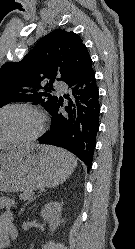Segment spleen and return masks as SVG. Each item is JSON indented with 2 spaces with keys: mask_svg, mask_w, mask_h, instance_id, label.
I'll return each instance as SVG.
<instances>
[{
  "mask_svg": "<svg viewBox=\"0 0 135 249\" xmlns=\"http://www.w3.org/2000/svg\"><path fill=\"white\" fill-rule=\"evenodd\" d=\"M57 152H58V155H59L63 160H70V161L73 162L74 166L77 165V160L75 159V157H74L72 154H70V153H68V152H66V151H63V150H59V149H57Z\"/></svg>",
  "mask_w": 135,
  "mask_h": 249,
  "instance_id": "obj_1",
  "label": "spleen"
}]
</instances>
